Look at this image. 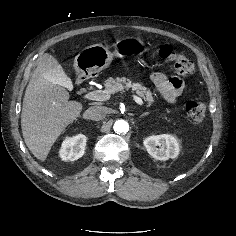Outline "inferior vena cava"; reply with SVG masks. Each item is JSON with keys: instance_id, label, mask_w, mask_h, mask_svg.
<instances>
[{"instance_id": "602c4592", "label": "inferior vena cava", "mask_w": 236, "mask_h": 236, "mask_svg": "<svg viewBox=\"0 0 236 236\" xmlns=\"http://www.w3.org/2000/svg\"><path fill=\"white\" fill-rule=\"evenodd\" d=\"M107 114L106 108L103 106H92L88 108L85 115L88 119L99 121L105 118Z\"/></svg>"}]
</instances>
